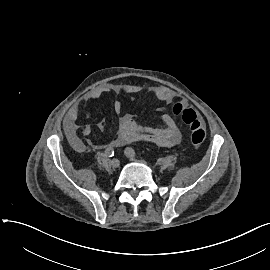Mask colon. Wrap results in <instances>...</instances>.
<instances>
[{
	"label": "colon",
	"mask_w": 270,
	"mask_h": 270,
	"mask_svg": "<svg viewBox=\"0 0 270 270\" xmlns=\"http://www.w3.org/2000/svg\"><path fill=\"white\" fill-rule=\"evenodd\" d=\"M173 113L188 125L191 146L194 149H199L205 140V129L202 119L197 115L195 110L181 102L173 106Z\"/></svg>",
	"instance_id": "5ec220e1"
}]
</instances>
